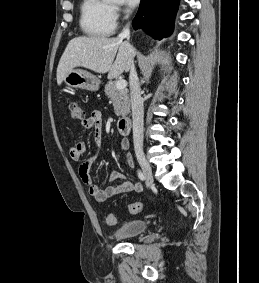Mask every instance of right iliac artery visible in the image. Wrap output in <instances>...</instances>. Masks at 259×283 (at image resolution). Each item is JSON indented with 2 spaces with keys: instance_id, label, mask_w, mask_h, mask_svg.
I'll return each mask as SVG.
<instances>
[{
  "instance_id": "obj_1",
  "label": "right iliac artery",
  "mask_w": 259,
  "mask_h": 283,
  "mask_svg": "<svg viewBox=\"0 0 259 283\" xmlns=\"http://www.w3.org/2000/svg\"><path fill=\"white\" fill-rule=\"evenodd\" d=\"M138 177L140 180L144 181L145 180V176L141 171H138Z\"/></svg>"
}]
</instances>
